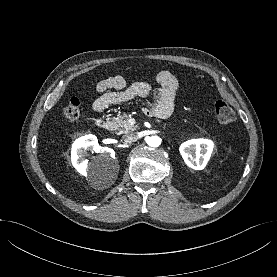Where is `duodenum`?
Here are the masks:
<instances>
[{"label":"duodenum","instance_id":"410a0bca","mask_svg":"<svg viewBox=\"0 0 277 277\" xmlns=\"http://www.w3.org/2000/svg\"><path fill=\"white\" fill-rule=\"evenodd\" d=\"M96 125L103 130H108L110 128V122L106 119H98Z\"/></svg>","mask_w":277,"mask_h":277}]
</instances>
